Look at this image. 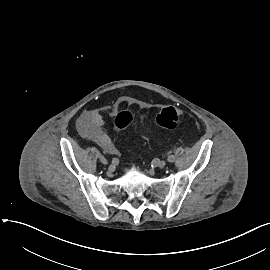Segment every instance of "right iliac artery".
Returning a JSON list of instances; mask_svg holds the SVG:
<instances>
[{"label":"right iliac artery","mask_w":270,"mask_h":270,"mask_svg":"<svg viewBox=\"0 0 270 270\" xmlns=\"http://www.w3.org/2000/svg\"><path fill=\"white\" fill-rule=\"evenodd\" d=\"M111 163H112V165H118V163H119L118 158H113Z\"/></svg>","instance_id":"obj_1"}]
</instances>
